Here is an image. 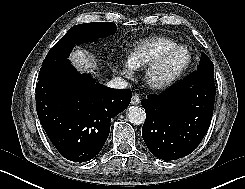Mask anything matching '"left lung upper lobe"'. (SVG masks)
<instances>
[{
	"label": "left lung upper lobe",
	"instance_id": "1",
	"mask_svg": "<svg viewBox=\"0 0 245 189\" xmlns=\"http://www.w3.org/2000/svg\"><path fill=\"white\" fill-rule=\"evenodd\" d=\"M197 71H203L214 76V64L204 53L201 54Z\"/></svg>",
	"mask_w": 245,
	"mask_h": 189
}]
</instances>
